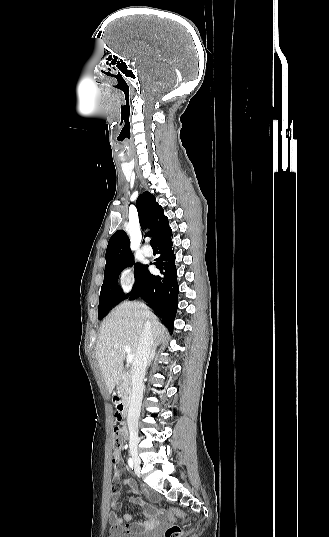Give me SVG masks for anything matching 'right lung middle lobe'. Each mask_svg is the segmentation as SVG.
<instances>
[{"mask_svg": "<svg viewBox=\"0 0 329 537\" xmlns=\"http://www.w3.org/2000/svg\"><path fill=\"white\" fill-rule=\"evenodd\" d=\"M133 264H134V260L133 258H130V259H127L125 261H122L116 264L105 266L104 281L101 287V293H100V299H99V308H98L99 319H102L103 317H105L108 311L113 306H115L117 303H119L121 300L125 298L121 287L118 286V276L124 268L128 266H132ZM143 268H144V265H141L139 263H136L134 265L135 284L133 286L131 293L139 285Z\"/></svg>", "mask_w": 329, "mask_h": 537, "instance_id": "right-lung-middle-lobe-1", "label": "right lung middle lobe"}]
</instances>
